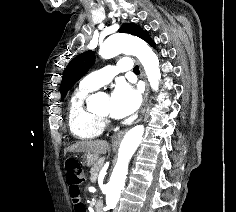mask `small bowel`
<instances>
[{
    "label": "small bowel",
    "mask_w": 236,
    "mask_h": 212,
    "mask_svg": "<svg viewBox=\"0 0 236 212\" xmlns=\"http://www.w3.org/2000/svg\"><path fill=\"white\" fill-rule=\"evenodd\" d=\"M67 191L69 192L70 202H72V212H88V205H80L83 203L81 195L80 179H74V175H67Z\"/></svg>",
    "instance_id": "obj_1"
}]
</instances>
